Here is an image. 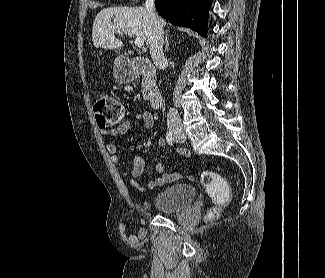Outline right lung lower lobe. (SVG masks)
<instances>
[{
    "mask_svg": "<svg viewBox=\"0 0 325 278\" xmlns=\"http://www.w3.org/2000/svg\"><path fill=\"white\" fill-rule=\"evenodd\" d=\"M155 3L163 18L206 37L210 0H155Z\"/></svg>",
    "mask_w": 325,
    "mask_h": 278,
    "instance_id": "98d812e1",
    "label": "right lung lower lobe"
}]
</instances>
